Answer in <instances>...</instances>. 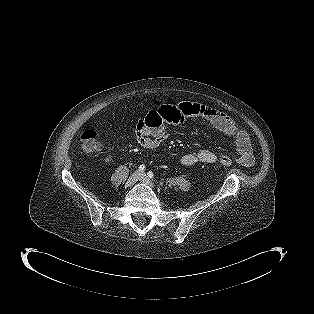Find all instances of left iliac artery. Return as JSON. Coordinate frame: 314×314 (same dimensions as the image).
I'll use <instances>...</instances> for the list:
<instances>
[{
  "label": "left iliac artery",
  "instance_id": "1",
  "mask_svg": "<svg viewBox=\"0 0 314 314\" xmlns=\"http://www.w3.org/2000/svg\"><path fill=\"white\" fill-rule=\"evenodd\" d=\"M148 176L153 179V178H154L153 172L149 171V172H148Z\"/></svg>",
  "mask_w": 314,
  "mask_h": 314
}]
</instances>
